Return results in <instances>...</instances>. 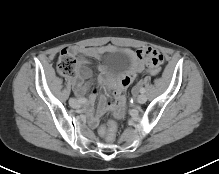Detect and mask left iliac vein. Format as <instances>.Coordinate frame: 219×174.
Segmentation results:
<instances>
[{"label":"left iliac vein","mask_w":219,"mask_h":174,"mask_svg":"<svg viewBox=\"0 0 219 174\" xmlns=\"http://www.w3.org/2000/svg\"><path fill=\"white\" fill-rule=\"evenodd\" d=\"M137 102L139 103V104H143V103H145L146 102V100H147V97H146V95H144V94H140V95H138L137 96Z\"/></svg>","instance_id":"obj_1"}]
</instances>
